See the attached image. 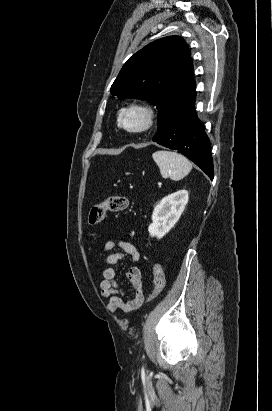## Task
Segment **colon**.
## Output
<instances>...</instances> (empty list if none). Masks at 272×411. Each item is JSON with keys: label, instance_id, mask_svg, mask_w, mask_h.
Instances as JSON below:
<instances>
[{"label": "colon", "instance_id": "obj_1", "mask_svg": "<svg viewBox=\"0 0 272 411\" xmlns=\"http://www.w3.org/2000/svg\"><path fill=\"white\" fill-rule=\"evenodd\" d=\"M129 199L124 196H112L101 203L91 207L88 220L91 226H99L104 221L108 212H120L127 209ZM165 285V277L163 268L160 263L153 264V289L147 298L137 299L136 304L142 305L155 299L163 290Z\"/></svg>", "mask_w": 272, "mask_h": 411}]
</instances>
